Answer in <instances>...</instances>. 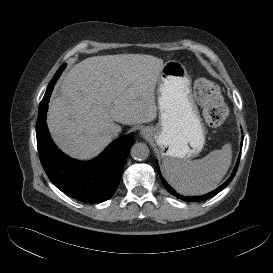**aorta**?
Segmentation results:
<instances>
[{
  "label": "aorta",
  "mask_w": 273,
  "mask_h": 273,
  "mask_svg": "<svg viewBox=\"0 0 273 273\" xmlns=\"http://www.w3.org/2000/svg\"><path fill=\"white\" fill-rule=\"evenodd\" d=\"M149 153V148L145 143H136L130 150V154L135 160H145L148 158Z\"/></svg>",
  "instance_id": "1"
}]
</instances>
